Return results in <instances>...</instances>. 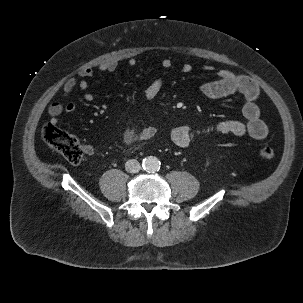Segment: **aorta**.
<instances>
[{"label": "aorta", "instance_id": "1", "mask_svg": "<svg viewBox=\"0 0 303 303\" xmlns=\"http://www.w3.org/2000/svg\"><path fill=\"white\" fill-rule=\"evenodd\" d=\"M160 161L157 157L149 156L143 159L142 166L146 172L154 173L160 169Z\"/></svg>", "mask_w": 303, "mask_h": 303}]
</instances>
